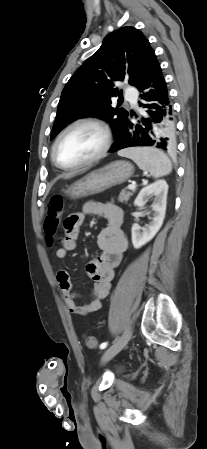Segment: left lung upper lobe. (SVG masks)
<instances>
[{"instance_id": "1", "label": "left lung upper lobe", "mask_w": 207, "mask_h": 449, "mask_svg": "<svg viewBox=\"0 0 207 449\" xmlns=\"http://www.w3.org/2000/svg\"><path fill=\"white\" fill-rule=\"evenodd\" d=\"M156 61L154 50L140 30L128 26L108 34L98 51L65 85L50 139L68 123L87 116L110 123L116 138L129 115L127 110L111 106V98L122 94L117 82L128 78L130 85L140 87Z\"/></svg>"}]
</instances>
